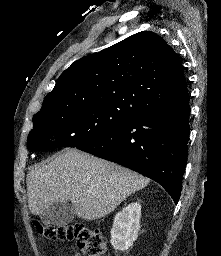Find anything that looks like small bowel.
<instances>
[{
  "label": "small bowel",
  "instance_id": "obj_1",
  "mask_svg": "<svg viewBox=\"0 0 221 256\" xmlns=\"http://www.w3.org/2000/svg\"><path fill=\"white\" fill-rule=\"evenodd\" d=\"M74 256H79L78 254H75Z\"/></svg>",
  "mask_w": 221,
  "mask_h": 256
}]
</instances>
